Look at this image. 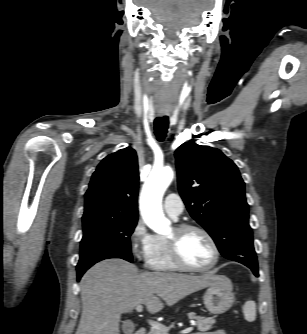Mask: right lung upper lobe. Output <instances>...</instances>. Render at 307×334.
Returning a JSON list of instances; mask_svg holds the SVG:
<instances>
[{
	"mask_svg": "<svg viewBox=\"0 0 307 334\" xmlns=\"http://www.w3.org/2000/svg\"><path fill=\"white\" fill-rule=\"evenodd\" d=\"M138 163L131 147L105 157L92 175L85 194L83 218L137 220Z\"/></svg>",
	"mask_w": 307,
	"mask_h": 334,
	"instance_id": "obj_1",
	"label": "right lung upper lobe"
}]
</instances>
